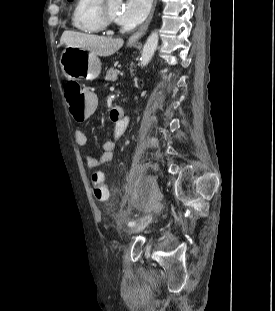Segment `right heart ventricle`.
I'll return each instance as SVG.
<instances>
[{
  "instance_id": "1",
  "label": "right heart ventricle",
  "mask_w": 275,
  "mask_h": 311,
  "mask_svg": "<svg viewBox=\"0 0 275 311\" xmlns=\"http://www.w3.org/2000/svg\"><path fill=\"white\" fill-rule=\"evenodd\" d=\"M102 0H75L71 24L77 31L86 34H101L105 28L99 17Z\"/></svg>"
}]
</instances>
